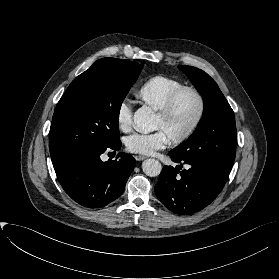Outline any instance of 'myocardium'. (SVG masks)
Returning a JSON list of instances; mask_svg holds the SVG:
<instances>
[{"instance_id":"myocardium-1","label":"myocardium","mask_w":279,"mask_h":279,"mask_svg":"<svg viewBox=\"0 0 279 279\" xmlns=\"http://www.w3.org/2000/svg\"><path fill=\"white\" fill-rule=\"evenodd\" d=\"M184 93H190L196 98L198 102V110L191 125L180 135L169 139V141L174 144L182 143L192 137L201 125L206 112V101L203 94L194 87L183 86L176 89L168 96L162 108L158 110L157 115L162 118L168 117L171 114L177 99Z\"/></svg>"}]
</instances>
